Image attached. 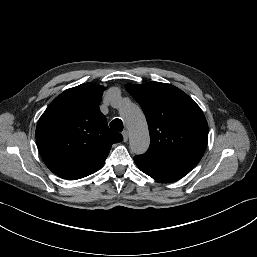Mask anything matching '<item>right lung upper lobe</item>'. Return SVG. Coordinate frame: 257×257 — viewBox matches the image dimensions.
I'll use <instances>...</instances> for the list:
<instances>
[{
	"label": "right lung upper lobe",
	"mask_w": 257,
	"mask_h": 257,
	"mask_svg": "<svg viewBox=\"0 0 257 257\" xmlns=\"http://www.w3.org/2000/svg\"><path fill=\"white\" fill-rule=\"evenodd\" d=\"M104 90L93 83L67 89L40 117L35 133L38 150L56 175L76 180L96 172L112 144L123 140L99 109Z\"/></svg>",
	"instance_id": "obj_1"
}]
</instances>
